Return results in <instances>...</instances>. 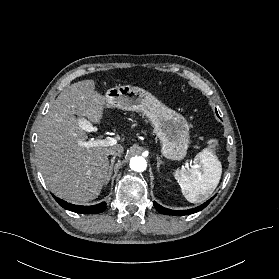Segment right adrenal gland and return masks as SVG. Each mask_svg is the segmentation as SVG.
Masks as SVG:
<instances>
[{
	"label": "right adrenal gland",
	"mask_w": 279,
	"mask_h": 279,
	"mask_svg": "<svg viewBox=\"0 0 279 279\" xmlns=\"http://www.w3.org/2000/svg\"><path fill=\"white\" fill-rule=\"evenodd\" d=\"M116 156H113L112 159L110 160V166H109V171H108V175H107V179L105 181V184L107 185L108 182L110 181L111 175H112V171H113V165L115 162Z\"/></svg>",
	"instance_id": "obj_1"
}]
</instances>
